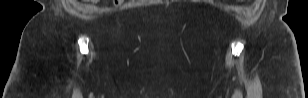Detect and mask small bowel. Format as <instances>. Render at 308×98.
I'll return each mask as SVG.
<instances>
[{"instance_id": "obj_1", "label": "small bowel", "mask_w": 308, "mask_h": 98, "mask_svg": "<svg viewBox=\"0 0 308 98\" xmlns=\"http://www.w3.org/2000/svg\"><path fill=\"white\" fill-rule=\"evenodd\" d=\"M92 2L95 3V4L98 3V1H92ZM122 2H123V0H118V1H115V4L120 5Z\"/></svg>"}]
</instances>
